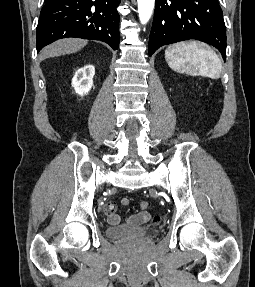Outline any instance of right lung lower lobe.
Masks as SVG:
<instances>
[{"instance_id": "obj_1", "label": "right lung lower lobe", "mask_w": 255, "mask_h": 287, "mask_svg": "<svg viewBox=\"0 0 255 287\" xmlns=\"http://www.w3.org/2000/svg\"><path fill=\"white\" fill-rule=\"evenodd\" d=\"M37 26V52L66 37L100 40L117 50L121 0H45Z\"/></svg>"}]
</instances>
